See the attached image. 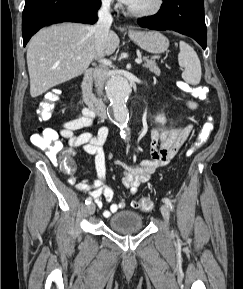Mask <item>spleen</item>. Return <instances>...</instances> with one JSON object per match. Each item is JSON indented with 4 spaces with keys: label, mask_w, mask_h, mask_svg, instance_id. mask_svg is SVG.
Segmentation results:
<instances>
[{
    "label": "spleen",
    "mask_w": 243,
    "mask_h": 289,
    "mask_svg": "<svg viewBox=\"0 0 243 289\" xmlns=\"http://www.w3.org/2000/svg\"><path fill=\"white\" fill-rule=\"evenodd\" d=\"M180 52L178 63L184 68L182 78L191 85L199 84L201 80V63L194 49L184 41L179 42Z\"/></svg>",
    "instance_id": "obj_1"
}]
</instances>
